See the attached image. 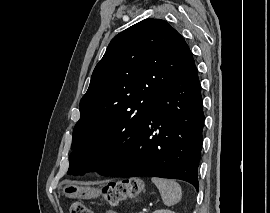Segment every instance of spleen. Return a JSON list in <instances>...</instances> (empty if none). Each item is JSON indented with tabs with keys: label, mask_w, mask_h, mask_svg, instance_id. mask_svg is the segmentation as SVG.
I'll use <instances>...</instances> for the list:
<instances>
[{
	"label": "spleen",
	"mask_w": 270,
	"mask_h": 213,
	"mask_svg": "<svg viewBox=\"0 0 270 213\" xmlns=\"http://www.w3.org/2000/svg\"><path fill=\"white\" fill-rule=\"evenodd\" d=\"M151 180L157 186L166 206H172L181 200L182 190L177 182L156 177H153Z\"/></svg>",
	"instance_id": "obj_1"
}]
</instances>
